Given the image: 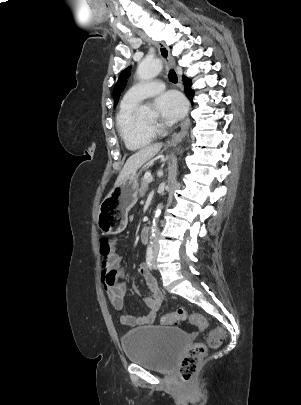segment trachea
Masks as SVG:
<instances>
[{"instance_id": "3493384b", "label": "trachea", "mask_w": 301, "mask_h": 405, "mask_svg": "<svg viewBox=\"0 0 301 405\" xmlns=\"http://www.w3.org/2000/svg\"><path fill=\"white\" fill-rule=\"evenodd\" d=\"M169 79L172 83H177V81H178L177 75L173 69H170V71H169Z\"/></svg>"}]
</instances>
